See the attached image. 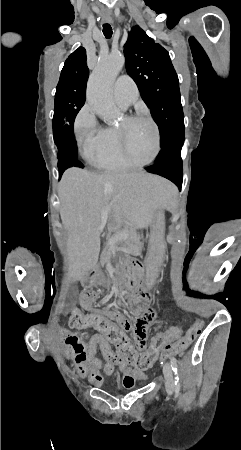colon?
Masks as SVG:
<instances>
[{"label":"colon","mask_w":241,"mask_h":450,"mask_svg":"<svg viewBox=\"0 0 241 450\" xmlns=\"http://www.w3.org/2000/svg\"><path fill=\"white\" fill-rule=\"evenodd\" d=\"M69 325L80 329H91L94 327L100 330L109 339L114 349L128 359V366H136L137 371H150L153 364V356H157L158 362L164 363L168 355L177 356L183 353L187 348L193 346V342L202 329V321L197 320L188 332L172 346L170 343L166 344V340L175 336L178 327L176 324H169L167 328L159 331L158 336L151 340L148 346L149 350L140 351L134 350L133 345L127 341L121 330L111 323L106 316L99 313L85 315L76 310L69 317ZM162 345H165L162 354L155 355V352H158Z\"/></svg>","instance_id":"colon-1"}]
</instances>
